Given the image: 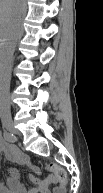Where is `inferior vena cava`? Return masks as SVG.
I'll list each match as a JSON object with an SVG mask.
<instances>
[{
  "label": "inferior vena cava",
  "mask_w": 103,
  "mask_h": 193,
  "mask_svg": "<svg viewBox=\"0 0 103 193\" xmlns=\"http://www.w3.org/2000/svg\"><path fill=\"white\" fill-rule=\"evenodd\" d=\"M23 3V0H21ZM20 34V16L16 15L0 47V115L10 118V80L11 63L18 36Z\"/></svg>",
  "instance_id": "1"
}]
</instances>
